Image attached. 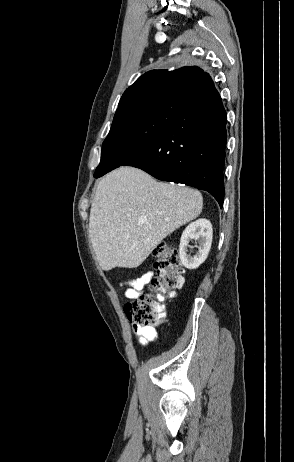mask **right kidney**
Returning a JSON list of instances; mask_svg holds the SVG:
<instances>
[{
	"instance_id": "obj_1",
	"label": "right kidney",
	"mask_w": 294,
	"mask_h": 462,
	"mask_svg": "<svg viewBox=\"0 0 294 462\" xmlns=\"http://www.w3.org/2000/svg\"><path fill=\"white\" fill-rule=\"evenodd\" d=\"M212 234V224L207 219H198L185 228L179 246V257L185 268L196 269L206 260L211 248ZM190 240H195L199 244L198 252L193 257L187 255Z\"/></svg>"
}]
</instances>
